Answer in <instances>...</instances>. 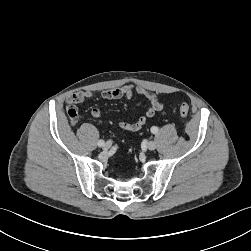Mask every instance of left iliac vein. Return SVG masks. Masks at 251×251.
I'll return each instance as SVG.
<instances>
[{
  "mask_svg": "<svg viewBox=\"0 0 251 251\" xmlns=\"http://www.w3.org/2000/svg\"><path fill=\"white\" fill-rule=\"evenodd\" d=\"M147 148L149 149V150H155V148H156V142L155 141H149L148 143H147Z\"/></svg>",
  "mask_w": 251,
  "mask_h": 251,
  "instance_id": "1",
  "label": "left iliac vein"
}]
</instances>
